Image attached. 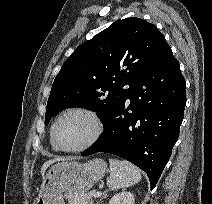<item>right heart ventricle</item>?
<instances>
[{
	"instance_id": "right-heart-ventricle-1",
	"label": "right heart ventricle",
	"mask_w": 212,
	"mask_h": 204,
	"mask_svg": "<svg viewBox=\"0 0 212 204\" xmlns=\"http://www.w3.org/2000/svg\"><path fill=\"white\" fill-rule=\"evenodd\" d=\"M50 141H51V146H52V148H53L54 150H58V149L56 148V146L54 145L52 139H51Z\"/></svg>"
}]
</instances>
